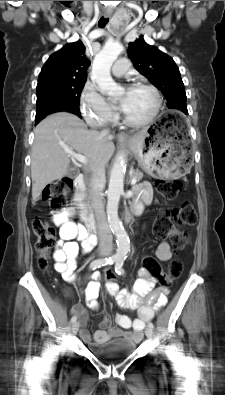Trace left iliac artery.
<instances>
[{"label":"left iliac artery","instance_id":"obj_1","mask_svg":"<svg viewBox=\"0 0 225 395\" xmlns=\"http://www.w3.org/2000/svg\"><path fill=\"white\" fill-rule=\"evenodd\" d=\"M123 263H124V260H123L122 258H118V259L116 260V262H115V272H116L118 275H123V274H124ZM148 327H150V328L153 329V328H154L153 323H152V322H149V323H148Z\"/></svg>","mask_w":225,"mask_h":395}]
</instances>
